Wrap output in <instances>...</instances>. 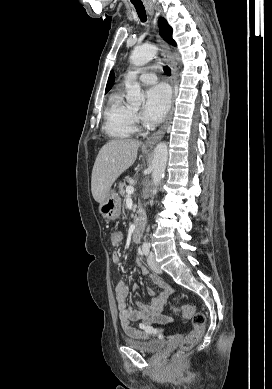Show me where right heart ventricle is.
<instances>
[{"instance_id": "obj_1", "label": "right heart ventricle", "mask_w": 272, "mask_h": 389, "mask_svg": "<svg viewBox=\"0 0 272 389\" xmlns=\"http://www.w3.org/2000/svg\"><path fill=\"white\" fill-rule=\"evenodd\" d=\"M104 118V130L112 138L126 139L137 130L134 111L124 102L121 90L110 95Z\"/></svg>"}]
</instances>
